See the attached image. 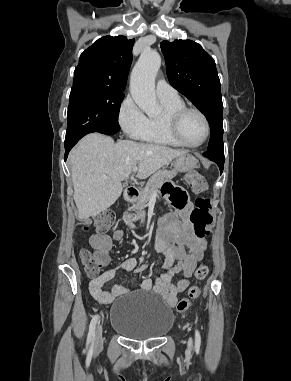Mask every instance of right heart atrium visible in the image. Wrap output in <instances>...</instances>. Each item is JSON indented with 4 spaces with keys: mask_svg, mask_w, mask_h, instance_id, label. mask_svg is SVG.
I'll use <instances>...</instances> for the list:
<instances>
[{
    "mask_svg": "<svg viewBox=\"0 0 291 381\" xmlns=\"http://www.w3.org/2000/svg\"><path fill=\"white\" fill-rule=\"evenodd\" d=\"M117 118L120 127L128 137L141 139L146 129L147 117L130 95L120 103Z\"/></svg>",
    "mask_w": 291,
    "mask_h": 381,
    "instance_id": "d8ad5b80",
    "label": "right heart atrium"
}]
</instances>
